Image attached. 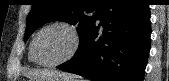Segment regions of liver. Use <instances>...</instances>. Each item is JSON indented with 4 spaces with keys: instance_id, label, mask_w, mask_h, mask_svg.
Here are the masks:
<instances>
[{
    "instance_id": "liver-1",
    "label": "liver",
    "mask_w": 169,
    "mask_h": 81,
    "mask_svg": "<svg viewBox=\"0 0 169 81\" xmlns=\"http://www.w3.org/2000/svg\"><path fill=\"white\" fill-rule=\"evenodd\" d=\"M26 75L31 80L46 79L51 77H61V78L71 79L70 76H67L64 73H61L59 71H50V70H32L27 72Z\"/></svg>"
}]
</instances>
